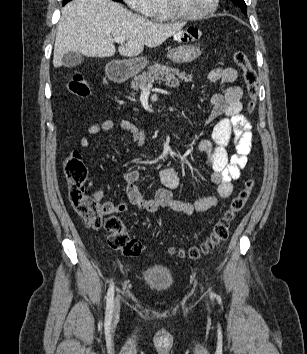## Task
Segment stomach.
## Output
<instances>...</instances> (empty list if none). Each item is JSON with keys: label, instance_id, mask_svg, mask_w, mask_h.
I'll use <instances>...</instances> for the list:
<instances>
[{"label": "stomach", "instance_id": "stomach-1", "mask_svg": "<svg viewBox=\"0 0 307 354\" xmlns=\"http://www.w3.org/2000/svg\"><path fill=\"white\" fill-rule=\"evenodd\" d=\"M187 32L185 38H176L175 35V40L182 44L168 53V57L175 62L188 63L201 55L200 48L191 44L192 41L201 36V32L195 27H190ZM147 64L148 60L145 57L121 61L117 65L115 75L120 79L129 78L139 73Z\"/></svg>", "mask_w": 307, "mask_h": 354}]
</instances>
